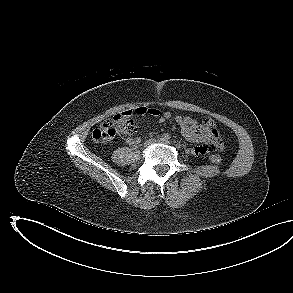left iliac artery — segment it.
<instances>
[{"label": "left iliac artery", "mask_w": 293, "mask_h": 293, "mask_svg": "<svg viewBox=\"0 0 293 293\" xmlns=\"http://www.w3.org/2000/svg\"><path fill=\"white\" fill-rule=\"evenodd\" d=\"M176 147L179 149V148H181V145L180 144H176Z\"/></svg>", "instance_id": "obj_1"}]
</instances>
